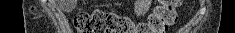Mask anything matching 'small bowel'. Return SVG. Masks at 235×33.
Masks as SVG:
<instances>
[{
  "mask_svg": "<svg viewBox=\"0 0 235 33\" xmlns=\"http://www.w3.org/2000/svg\"><path fill=\"white\" fill-rule=\"evenodd\" d=\"M149 7V2L147 0L138 1L136 3V12L142 13L145 12Z\"/></svg>",
  "mask_w": 235,
  "mask_h": 33,
  "instance_id": "obj_1",
  "label": "small bowel"
}]
</instances>
